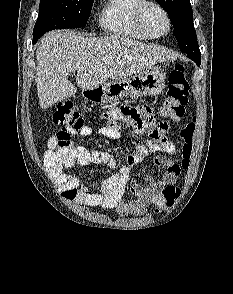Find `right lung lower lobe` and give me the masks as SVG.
Returning a JSON list of instances; mask_svg holds the SVG:
<instances>
[{
    "label": "right lung lower lobe",
    "mask_w": 233,
    "mask_h": 294,
    "mask_svg": "<svg viewBox=\"0 0 233 294\" xmlns=\"http://www.w3.org/2000/svg\"><path fill=\"white\" fill-rule=\"evenodd\" d=\"M37 39H39V38H35V39H33V43H36V42H37Z\"/></svg>",
    "instance_id": "1"
}]
</instances>
